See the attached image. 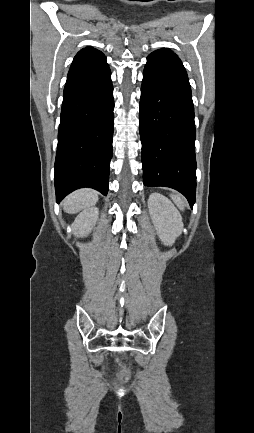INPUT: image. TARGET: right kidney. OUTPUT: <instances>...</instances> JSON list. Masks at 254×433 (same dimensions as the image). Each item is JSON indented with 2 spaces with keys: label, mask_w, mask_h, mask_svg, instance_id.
<instances>
[{
  "label": "right kidney",
  "mask_w": 254,
  "mask_h": 433,
  "mask_svg": "<svg viewBox=\"0 0 254 433\" xmlns=\"http://www.w3.org/2000/svg\"><path fill=\"white\" fill-rule=\"evenodd\" d=\"M98 215L99 213L97 208H90L81 212L72 224V232L74 235L80 237L88 235L93 226H95Z\"/></svg>",
  "instance_id": "obj_1"
}]
</instances>
